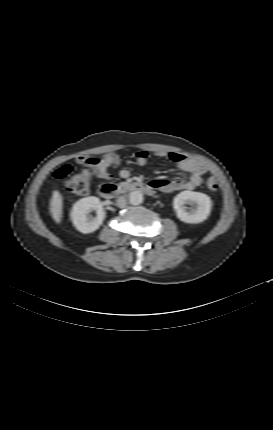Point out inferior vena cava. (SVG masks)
Listing matches in <instances>:
<instances>
[{"mask_svg": "<svg viewBox=\"0 0 273 430\" xmlns=\"http://www.w3.org/2000/svg\"><path fill=\"white\" fill-rule=\"evenodd\" d=\"M127 202H126V198L124 196H121L117 199V206L119 208H124L126 206Z\"/></svg>", "mask_w": 273, "mask_h": 430, "instance_id": "1", "label": "inferior vena cava"}]
</instances>
